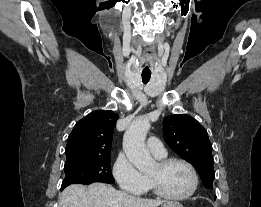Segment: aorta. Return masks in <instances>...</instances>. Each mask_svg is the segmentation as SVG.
Masks as SVG:
<instances>
[{
  "instance_id": "obj_1",
  "label": "aorta",
  "mask_w": 261,
  "mask_h": 207,
  "mask_svg": "<svg viewBox=\"0 0 261 207\" xmlns=\"http://www.w3.org/2000/svg\"><path fill=\"white\" fill-rule=\"evenodd\" d=\"M150 122L145 118L134 120L123 137V149L128 160L140 171H146L154 165V160L145 147Z\"/></svg>"
}]
</instances>
